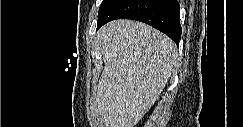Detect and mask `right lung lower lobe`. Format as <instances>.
Instances as JSON below:
<instances>
[{"label":"right lung lower lobe","instance_id":"1","mask_svg":"<svg viewBox=\"0 0 243 127\" xmlns=\"http://www.w3.org/2000/svg\"><path fill=\"white\" fill-rule=\"evenodd\" d=\"M179 9L177 0H110L98 13L97 30L114 19L138 20L162 31L178 45L182 32Z\"/></svg>","mask_w":243,"mask_h":127}]
</instances>
